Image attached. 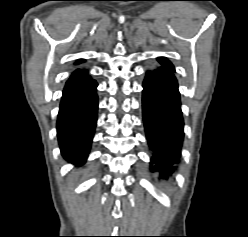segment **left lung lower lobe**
<instances>
[{
  "label": "left lung lower lobe",
  "mask_w": 248,
  "mask_h": 237,
  "mask_svg": "<svg viewBox=\"0 0 248 237\" xmlns=\"http://www.w3.org/2000/svg\"><path fill=\"white\" fill-rule=\"evenodd\" d=\"M174 70L164 66L148 71L143 83V120L154 151L152 170L171 174L174 158L179 156L183 139V119Z\"/></svg>",
  "instance_id": "left-lung-lower-lobe-1"
}]
</instances>
